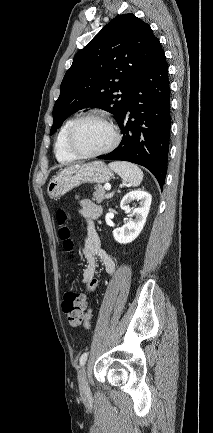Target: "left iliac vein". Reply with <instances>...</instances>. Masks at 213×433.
Listing matches in <instances>:
<instances>
[{
    "instance_id": "left-iliac-vein-1",
    "label": "left iliac vein",
    "mask_w": 213,
    "mask_h": 433,
    "mask_svg": "<svg viewBox=\"0 0 213 433\" xmlns=\"http://www.w3.org/2000/svg\"><path fill=\"white\" fill-rule=\"evenodd\" d=\"M78 379H79L80 394L83 398H86L90 395V387L87 381L85 368H82L80 370Z\"/></svg>"
}]
</instances>
